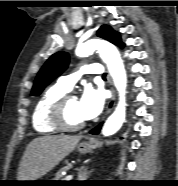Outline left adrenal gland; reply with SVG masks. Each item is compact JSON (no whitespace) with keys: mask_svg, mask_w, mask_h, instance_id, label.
Returning <instances> with one entry per match:
<instances>
[{"mask_svg":"<svg viewBox=\"0 0 178 186\" xmlns=\"http://www.w3.org/2000/svg\"><path fill=\"white\" fill-rule=\"evenodd\" d=\"M91 172L92 171H87V168L84 166L81 167L78 172V181H85Z\"/></svg>","mask_w":178,"mask_h":186,"instance_id":"a2214340","label":"left adrenal gland"}]
</instances>
